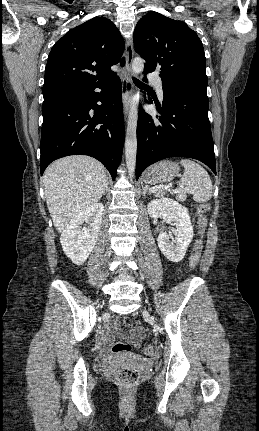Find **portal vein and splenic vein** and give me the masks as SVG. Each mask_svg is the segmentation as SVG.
Listing matches in <instances>:
<instances>
[{
  "instance_id": "18ae733b",
  "label": "portal vein and splenic vein",
  "mask_w": 259,
  "mask_h": 431,
  "mask_svg": "<svg viewBox=\"0 0 259 431\" xmlns=\"http://www.w3.org/2000/svg\"><path fill=\"white\" fill-rule=\"evenodd\" d=\"M163 189L168 190V189H169V186H158V187H153V188H151V189H150V191H151V192H157V191H160V190H163Z\"/></svg>"
}]
</instances>
